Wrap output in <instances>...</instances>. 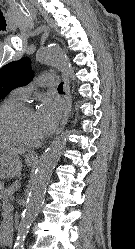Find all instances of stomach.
I'll list each match as a JSON object with an SVG mask.
<instances>
[{"label":"stomach","instance_id":"obj_1","mask_svg":"<svg viewBox=\"0 0 135 249\" xmlns=\"http://www.w3.org/2000/svg\"><path fill=\"white\" fill-rule=\"evenodd\" d=\"M26 163L31 166L33 161L26 160ZM21 161L18 155H15L6 149H0V178H13L19 174L21 170Z\"/></svg>","mask_w":135,"mask_h":249}]
</instances>
